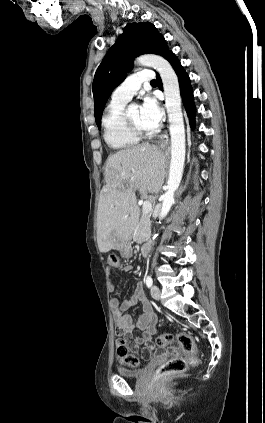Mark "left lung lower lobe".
<instances>
[{"label": "left lung lower lobe", "instance_id": "obj_1", "mask_svg": "<svg viewBox=\"0 0 265 423\" xmlns=\"http://www.w3.org/2000/svg\"><path fill=\"white\" fill-rule=\"evenodd\" d=\"M164 57L170 62V64L172 65L173 69L175 70L178 76L181 96L183 98V103H184L186 112L190 118V126L194 128L195 105L193 102V91H192L189 76L187 75L181 63L179 62V60L177 59V57L174 55L172 51L168 50L165 53ZM157 80L159 83V88L162 90V82L158 74H157Z\"/></svg>", "mask_w": 265, "mask_h": 423}]
</instances>
